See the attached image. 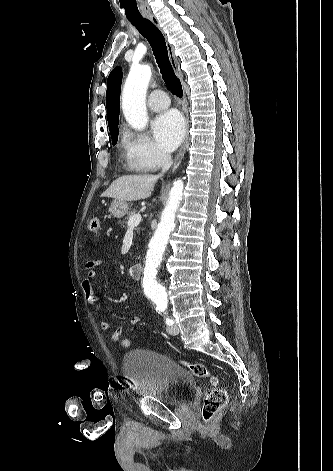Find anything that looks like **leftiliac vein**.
Wrapping results in <instances>:
<instances>
[{
	"label": "left iliac vein",
	"mask_w": 333,
	"mask_h": 471,
	"mask_svg": "<svg viewBox=\"0 0 333 471\" xmlns=\"http://www.w3.org/2000/svg\"><path fill=\"white\" fill-rule=\"evenodd\" d=\"M167 332L171 335H177L179 333V327L177 324H172L167 327Z\"/></svg>",
	"instance_id": "4c4485c4"
}]
</instances>
